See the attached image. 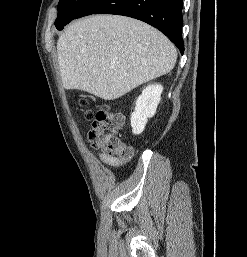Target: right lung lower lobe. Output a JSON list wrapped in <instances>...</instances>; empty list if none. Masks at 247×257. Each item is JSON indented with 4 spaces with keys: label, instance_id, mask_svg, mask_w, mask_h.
I'll return each instance as SVG.
<instances>
[{
    "label": "right lung lower lobe",
    "instance_id": "1",
    "mask_svg": "<svg viewBox=\"0 0 247 257\" xmlns=\"http://www.w3.org/2000/svg\"><path fill=\"white\" fill-rule=\"evenodd\" d=\"M182 6L183 0H92L75 18L90 14L132 17L159 29L183 54Z\"/></svg>",
    "mask_w": 247,
    "mask_h": 257
}]
</instances>
